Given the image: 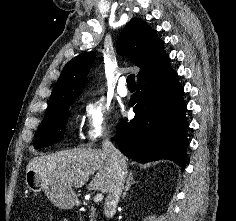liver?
Here are the masks:
<instances>
[{
  "label": "liver",
  "instance_id": "1",
  "mask_svg": "<svg viewBox=\"0 0 236 221\" xmlns=\"http://www.w3.org/2000/svg\"><path fill=\"white\" fill-rule=\"evenodd\" d=\"M27 170L44 174L70 188L84 186L95 173L88 189L103 193L109 190L112 174L103 151L92 148H74L35 157L27 165Z\"/></svg>",
  "mask_w": 236,
  "mask_h": 221
}]
</instances>
